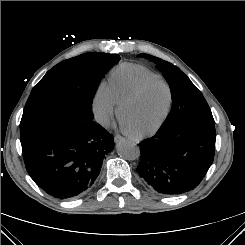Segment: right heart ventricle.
<instances>
[{
    "label": "right heart ventricle",
    "mask_w": 245,
    "mask_h": 245,
    "mask_svg": "<svg viewBox=\"0 0 245 245\" xmlns=\"http://www.w3.org/2000/svg\"><path fill=\"white\" fill-rule=\"evenodd\" d=\"M156 76L148 68L132 63H124L114 68L109 76V87L120 104L144 79Z\"/></svg>",
    "instance_id": "1"
}]
</instances>
